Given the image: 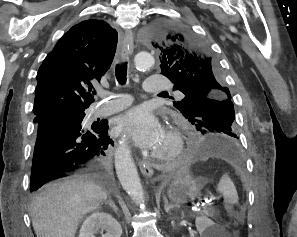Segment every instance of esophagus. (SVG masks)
<instances>
[{
    "mask_svg": "<svg viewBox=\"0 0 297 237\" xmlns=\"http://www.w3.org/2000/svg\"><path fill=\"white\" fill-rule=\"evenodd\" d=\"M134 44H133V32L131 30H127L125 32L124 41L121 49V59H128L129 55L133 53ZM141 172L144 176L150 177L153 174L152 166L145 162L140 164Z\"/></svg>",
    "mask_w": 297,
    "mask_h": 237,
    "instance_id": "obj_1",
    "label": "esophagus"
}]
</instances>
